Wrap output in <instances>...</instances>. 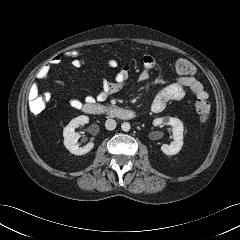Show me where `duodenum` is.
Segmentation results:
<instances>
[{
  "label": "duodenum",
  "instance_id": "duodenum-1",
  "mask_svg": "<svg viewBox=\"0 0 240 240\" xmlns=\"http://www.w3.org/2000/svg\"><path fill=\"white\" fill-rule=\"evenodd\" d=\"M83 112L90 115H105L120 120H130L135 117V113L131 110L121 107H110L107 105L89 102L83 105Z\"/></svg>",
  "mask_w": 240,
  "mask_h": 240
}]
</instances>
